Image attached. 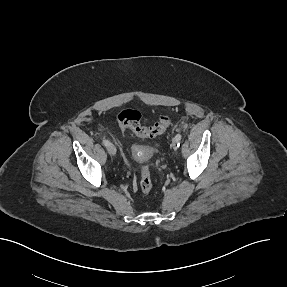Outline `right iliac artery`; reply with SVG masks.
<instances>
[{
	"label": "right iliac artery",
	"mask_w": 287,
	"mask_h": 287,
	"mask_svg": "<svg viewBox=\"0 0 287 287\" xmlns=\"http://www.w3.org/2000/svg\"><path fill=\"white\" fill-rule=\"evenodd\" d=\"M109 144H110V142L108 140H106V139L103 140V145L104 146L107 147Z\"/></svg>",
	"instance_id": "82829eb1"
}]
</instances>
